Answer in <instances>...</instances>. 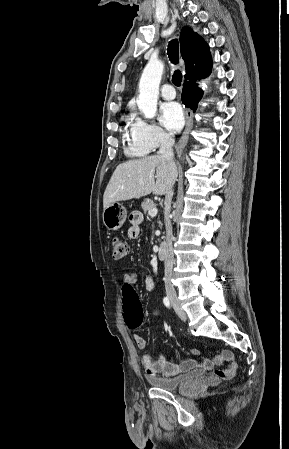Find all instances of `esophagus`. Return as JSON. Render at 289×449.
Wrapping results in <instances>:
<instances>
[{"label": "esophagus", "mask_w": 289, "mask_h": 449, "mask_svg": "<svg viewBox=\"0 0 289 449\" xmlns=\"http://www.w3.org/2000/svg\"><path fill=\"white\" fill-rule=\"evenodd\" d=\"M185 116H186V126L185 129L183 131V134L180 138V140L178 141L177 145H176V152L179 154L183 151L184 147L187 144L188 141V134L191 130L192 127V111L187 108L185 111Z\"/></svg>", "instance_id": "esophagus-1"}]
</instances>
